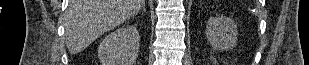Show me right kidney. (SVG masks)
I'll use <instances>...</instances> for the list:
<instances>
[{"mask_svg":"<svg viewBox=\"0 0 309 65\" xmlns=\"http://www.w3.org/2000/svg\"><path fill=\"white\" fill-rule=\"evenodd\" d=\"M140 36L133 26H123L106 36L98 47L102 65H133L138 56Z\"/></svg>","mask_w":309,"mask_h":65,"instance_id":"1","label":"right kidney"}]
</instances>
